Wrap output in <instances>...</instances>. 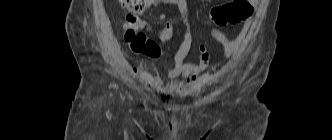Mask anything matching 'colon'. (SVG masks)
<instances>
[{
  "label": "colon",
  "mask_w": 332,
  "mask_h": 140,
  "mask_svg": "<svg viewBox=\"0 0 332 140\" xmlns=\"http://www.w3.org/2000/svg\"><path fill=\"white\" fill-rule=\"evenodd\" d=\"M153 0H119L121 6L131 14L126 16L123 30L124 39L131 49L139 54L149 57L160 55L159 46L149 40L141 30L149 28L147 23L138 15L142 13ZM259 0H232L213 7L209 12L211 22L216 26L235 25L252 17ZM178 30L173 22H167L158 32L166 39H172Z\"/></svg>",
  "instance_id": "obj_1"
}]
</instances>
